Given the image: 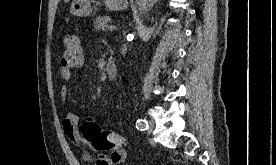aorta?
I'll return each mask as SVG.
<instances>
[{
  "instance_id": "obj_1",
  "label": "aorta",
  "mask_w": 276,
  "mask_h": 165,
  "mask_svg": "<svg viewBox=\"0 0 276 165\" xmlns=\"http://www.w3.org/2000/svg\"><path fill=\"white\" fill-rule=\"evenodd\" d=\"M157 0H136L137 9L141 16H146Z\"/></svg>"
}]
</instances>
